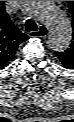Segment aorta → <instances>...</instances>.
Masks as SVG:
<instances>
[{"label":"aorta","instance_id":"aorta-1","mask_svg":"<svg viewBox=\"0 0 74 122\" xmlns=\"http://www.w3.org/2000/svg\"><path fill=\"white\" fill-rule=\"evenodd\" d=\"M22 9L27 16L48 28L49 48L56 52H63L70 46L71 23L53 1H22Z\"/></svg>","mask_w":74,"mask_h":122}]
</instances>
